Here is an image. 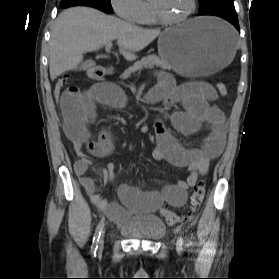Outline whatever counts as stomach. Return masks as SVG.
<instances>
[{
  "label": "stomach",
  "instance_id": "obj_1",
  "mask_svg": "<svg viewBox=\"0 0 279 279\" xmlns=\"http://www.w3.org/2000/svg\"><path fill=\"white\" fill-rule=\"evenodd\" d=\"M159 55L185 77L208 76L228 69L234 58V30L225 22L200 17L164 30L158 40Z\"/></svg>",
  "mask_w": 279,
  "mask_h": 279
}]
</instances>
